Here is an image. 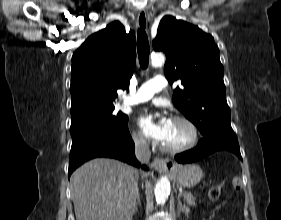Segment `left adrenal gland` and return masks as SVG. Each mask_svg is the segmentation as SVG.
Returning <instances> with one entry per match:
<instances>
[{
  "mask_svg": "<svg viewBox=\"0 0 281 220\" xmlns=\"http://www.w3.org/2000/svg\"><path fill=\"white\" fill-rule=\"evenodd\" d=\"M180 197H181V195L179 194L178 195V205H177L178 213L184 212L185 215L188 216L189 209L185 205L182 204Z\"/></svg>",
  "mask_w": 281,
  "mask_h": 220,
  "instance_id": "1",
  "label": "left adrenal gland"
}]
</instances>
